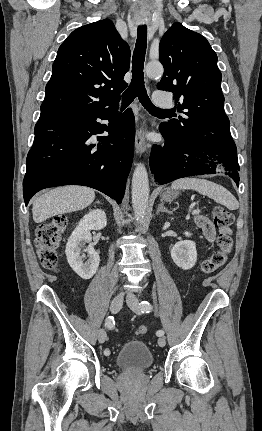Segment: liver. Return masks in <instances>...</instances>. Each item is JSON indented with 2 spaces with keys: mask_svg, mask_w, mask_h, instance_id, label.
Instances as JSON below:
<instances>
[{
  "mask_svg": "<svg viewBox=\"0 0 262 431\" xmlns=\"http://www.w3.org/2000/svg\"><path fill=\"white\" fill-rule=\"evenodd\" d=\"M94 198V190L84 186L52 189L33 200V220L41 223L56 215L82 210L89 206Z\"/></svg>",
  "mask_w": 262,
  "mask_h": 431,
  "instance_id": "1",
  "label": "liver"
}]
</instances>
